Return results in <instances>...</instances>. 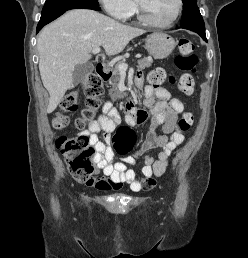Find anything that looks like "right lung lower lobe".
Here are the masks:
<instances>
[{
  "instance_id": "obj_1",
  "label": "right lung lower lobe",
  "mask_w": 248,
  "mask_h": 258,
  "mask_svg": "<svg viewBox=\"0 0 248 258\" xmlns=\"http://www.w3.org/2000/svg\"><path fill=\"white\" fill-rule=\"evenodd\" d=\"M78 8L92 9V10H96V11L100 10L99 5H93V4H88V3L78 4V5H75L73 7L62 9L60 11L54 12V13H52L50 15L45 16V17H41V19H40V21H39V23L37 25V33L41 30V28L43 26H45L46 24H48L51 21L55 20L56 18L61 16L63 13H65L67 10L78 9Z\"/></svg>"
}]
</instances>
